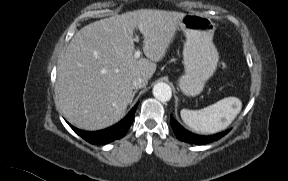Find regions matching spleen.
Here are the masks:
<instances>
[{
  "instance_id": "obj_1",
  "label": "spleen",
  "mask_w": 288,
  "mask_h": 181,
  "mask_svg": "<svg viewBox=\"0 0 288 181\" xmlns=\"http://www.w3.org/2000/svg\"><path fill=\"white\" fill-rule=\"evenodd\" d=\"M242 102L236 97H227L200 110L182 109L183 122L192 130L212 134L226 129L240 113Z\"/></svg>"
}]
</instances>
